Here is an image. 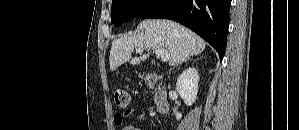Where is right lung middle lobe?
Segmentation results:
<instances>
[{"mask_svg": "<svg viewBox=\"0 0 299 130\" xmlns=\"http://www.w3.org/2000/svg\"><path fill=\"white\" fill-rule=\"evenodd\" d=\"M154 2L155 0H113L111 23L121 25L139 16Z\"/></svg>", "mask_w": 299, "mask_h": 130, "instance_id": "1", "label": "right lung middle lobe"}]
</instances>
